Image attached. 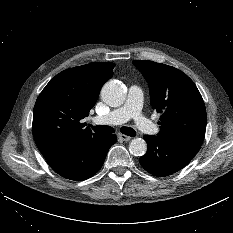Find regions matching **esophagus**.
<instances>
[{
	"label": "esophagus",
	"mask_w": 233,
	"mask_h": 233,
	"mask_svg": "<svg viewBox=\"0 0 233 233\" xmlns=\"http://www.w3.org/2000/svg\"><path fill=\"white\" fill-rule=\"evenodd\" d=\"M118 138H119L120 140H122V141H129V140H131L132 137L127 136V135H125V134H118Z\"/></svg>",
	"instance_id": "esophagus-1"
}]
</instances>
